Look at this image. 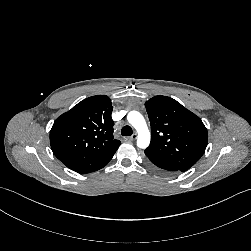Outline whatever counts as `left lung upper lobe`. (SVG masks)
I'll return each instance as SVG.
<instances>
[{
    "label": "left lung upper lobe",
    "instance_id": "5c2ea615",
    "mask_svg": "<svg viewBox=\"0 0 251 251\" xmlns=\"http://www.w3.org/2000/svg\"><path fill=\"white\" fill-rule=\"evenodd\" d=\"M145 106L151 124V142L145 150L149 161L182 172L191 168L203 155L208 142L202 120L167 96H155Z\"/></svg>",
    "mask_w": 251,
    "mask_h": 251
}]
</instances>
